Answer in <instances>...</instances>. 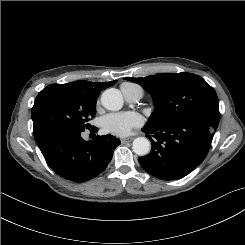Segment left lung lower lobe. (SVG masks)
<instances>
[{"mask_svg":"<svg viewBox=\"0 0 245 245\" xmlns=\"http://www.w3.org/2000/svg\"><path fill=\"white\" fill-rule=\"evenodd\" d=\"M217 126L215 121L198 117L161 127L144 126L142 131L148 134L152 149L138 161L146 172L159 179H181L205 159Z\"/></svg>","mask_w":245,"mask_h":245,"instance_id":"left-lung-lower-lobe-1","label":"left lung lower lobe"}]
</instances>
